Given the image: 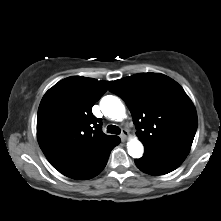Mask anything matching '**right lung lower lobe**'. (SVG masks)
Segmentation results:
<instances>
[{
	"instance_id": "obj_1",
	"label": "right lung lower lobe",
	"mask_w": 221,
	"mask_h": 221,
	"mask_svg": "<svg viewBox=\"0 0 221 221\" xmlns=\"http://www.w3.org/2000/svg\"><path fill=\"white\" fill-rule=\"evenodd\" d=\"M120 143V138H118L113 144L109 145L96 157L92 158L90 161L83 163L78 166H74L65 170L60 171L63 175L77 179V180H87L97 176L106 166L111 150Z\"/></svg>"
}]
</instances>
